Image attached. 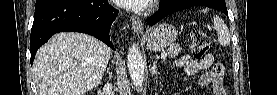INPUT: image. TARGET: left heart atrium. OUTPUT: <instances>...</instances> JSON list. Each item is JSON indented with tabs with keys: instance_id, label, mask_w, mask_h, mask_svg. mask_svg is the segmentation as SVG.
<instances>
[{
	"instance_id": "left-heart-atrium-1",
	"label": "left heart atrium",
	"mask_w": 277,
	"mask_h": 95,
	"mask_svg": "<svg viewBox=\"0 0 277 95\" xmlns=\"http://www.w3.org/2000/svg\"><path fill=\"white\" fill-rule=\"evenodd\" d=\"M150 2L151 0H118L121 7L136 11L144 9Z\"/></svg>"
}]
</instances>
